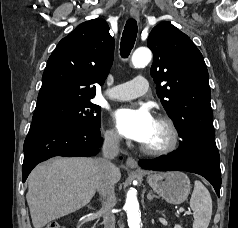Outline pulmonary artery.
I'll return each mask as SVG.
<instances>
[{
    "label": "pulmonary artery",
    "mask_w": 238,
    "mask_h": 228,
    "mask_svg": "<svg viewBox=\"0 0 238 228\" xmlns=\"http://www.w3.org/2000/svg\"><path fill=\"white\" fill-rule=\"evenodd\" d=\"M148 87V80L145 77L137 76L129 82L113 87L106 92V95L114 100H130L144 95L148 91Z\"/></svg>",
    "instance_id": "e3ab8cb5"
}]
</instances>
